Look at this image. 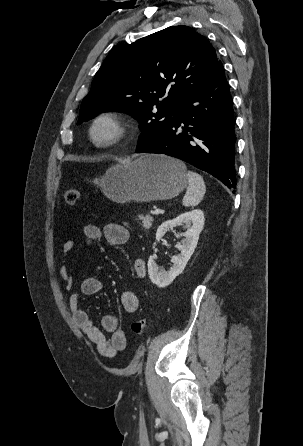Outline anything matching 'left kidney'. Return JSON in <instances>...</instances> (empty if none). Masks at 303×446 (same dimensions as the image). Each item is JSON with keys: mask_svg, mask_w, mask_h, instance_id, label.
Wrapping results in <instances>:
<instances>
[{"mask_svg": "<svg viewBox=\"0 0 303 446\" xmlns=\"http://www.w3.org/2000/svg\"><path fill=\"white\" fill-rule=\"evenodd\" d=\"M204 213L202 210L195 209L189 212L180 214L172 220L163 222L157 229L156 241L159 242L162 237L176 226L184 225L187 229L185 233L176 234L179 238L183 236L181 243L176 244L181 253L172 257L173 266L169 271L161 270L154 260V256H150L148 260V274L152 283L158 287H166L169 285L179 274H181L186 267L187 262L194 253L197 246L199 234L204 226ZM156 246V242L153 244V249Z\"/></svg>", "mask_w": 303, "mask_h": 446, "instance_id": "obj_1", "label": "left kidney"}]
</instances>
